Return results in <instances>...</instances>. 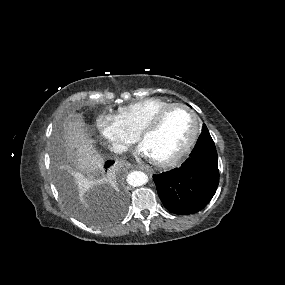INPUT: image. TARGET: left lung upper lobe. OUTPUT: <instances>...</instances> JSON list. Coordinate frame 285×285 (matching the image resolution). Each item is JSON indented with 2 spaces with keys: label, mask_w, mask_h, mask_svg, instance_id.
I'll use <instances>...</instances> for the list:
<instances>
[{
  "label": "left lung upper lobe",
  "mask_w": 285,
  "mask_h": 285,
  "mask_svg": "<svg viewBox=\"0 0 285 285\" xmlns=\"http://www.w3.org/2000/svg\"><path fill=\"white\" fill-rule=\"evenodd\" d=\"M202 130H203V131H207V130H208L205 124L203 125V129H202ZM203 131H202V132H203Z\"/></svg>",
  "instance_id": "5c2ea615"
}]
</instances>
